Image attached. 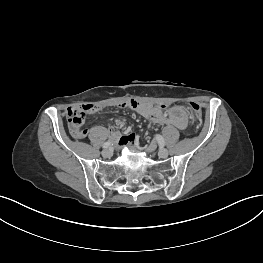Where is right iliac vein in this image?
<instances>
[{"mask_svg":"<svg viewBox=\"0 0 263 263\" xmlns=\"http://www.w3.org/2000/svg\"><path fill=\"white\" fill-rule=\"evenodd\" d=\"M102 156L103 157H106V158H109L112 156V151L110 149H105L102 151Z\"/></svg>","mask_w":263,"mask_h":263,"instance_id":"1","label":"right iliac vein"}]
</instances>
